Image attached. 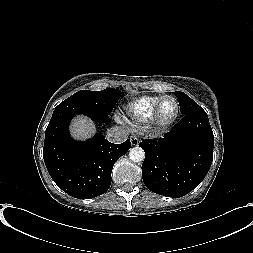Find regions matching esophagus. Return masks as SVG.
<instances>
[{
  "label": "esophagus",
  "instance_id": "esophagus-1",
  "mask_svg": "<svg viewBox=\"0 0 253 253\" xmlns=\"http://www.w3.org/2000/svg\"><path fill=\"white\" fill-rule=\"evenodd\" d=\"M130 142L132 146H137L139 144V139L136 136L132 135L130 137Z\"/></svg>",
  "mask_w": 253,
  "mask_h": 253
}]
</instances>
